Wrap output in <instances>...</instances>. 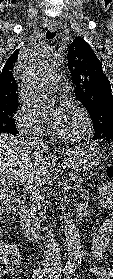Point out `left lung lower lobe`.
I'll use <instances>...</instances> for the list:
<instances>
[{"instance_id": "0a47b994", "label": "left lung lower lobe", "mask_w": 113, "mask_h": 279, "mask_svg": "<svg viewBox=\"0 0 113 279\" xmlns=\"http://www.w3.org/2000/svg\"><path fill=\"white\" fill-rule=\"evenodd\" d=\"M97 139H113V132L110 131V132H106L104 134H101V135H95L93 137V140H97Z\"/></svg>"}]
</instances>
